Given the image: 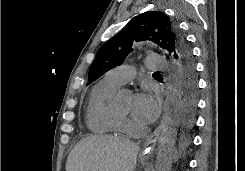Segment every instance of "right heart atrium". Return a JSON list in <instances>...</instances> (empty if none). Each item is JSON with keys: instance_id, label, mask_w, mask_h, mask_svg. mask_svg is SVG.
Masks as SVG:
<instances>
[{"instance_id": "obj_1", "label": "right heart atrium", "mask_w": 245, "mask_h": 171, "mask_svg": "<svg viewBox=\"0 0 245 171\" xmlns=\"http://www.w3.org/2000/svg\"><path fill=\"white\" fill-rule=\"evenodd\" d=\"M130 127H131V123L129 122V120H127L126 118H123L122 123H121V129L128 130Z\"/></svg>"}]
</instances>
